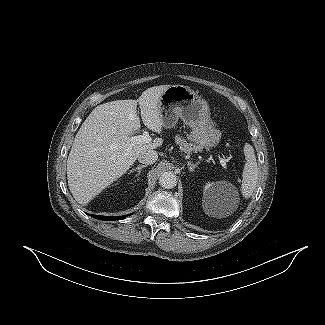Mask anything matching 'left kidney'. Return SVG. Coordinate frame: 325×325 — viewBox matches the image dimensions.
Segmentation results:
<instances>
[{"instance_id":"1","label":"left kidney","mask_w":325,"mask_h":325,"mask_svg":"<svg viewBox=\"0 0 325 325\" xmlns=\"http://www.w3.org/2000/svg\"><path fill=\"white\" fill-rule=\"evenodd\" d=\"M229 187L230 185L223 181L206 184L203 193L204 202L221 206L222 201L226 199Z\"/></svg>"}]
</instances>
